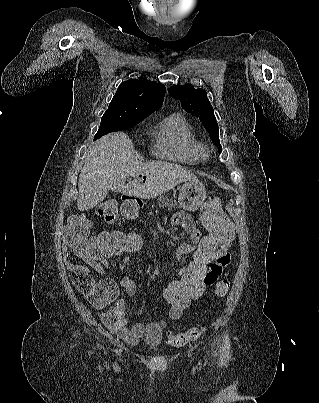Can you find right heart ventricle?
I'll return each mask as SVG.
<instances>
[{
  "mask_svg": "<svg viewBox=\"0 0 319 403\" xmlns=\"http://www.w3.org/2000/svg\"><path fill=\"white\" fill-rule=\"evenodd\" d=\"M199 145L191 124L180 113L169 114L155 126L152 151L159 158L196 163L201 158Z\"/></svg>",
  "mask_w": 319,
  "mask_h": 403,
  "instance_id": "1",
  "label": "right heart ventricle"
}]
</instances>
